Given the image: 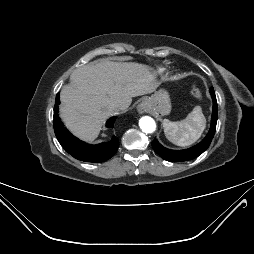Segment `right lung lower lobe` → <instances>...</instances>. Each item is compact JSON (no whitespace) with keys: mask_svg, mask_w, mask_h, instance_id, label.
I'll return each mask as SVG.
<instances>
[{"mask_svg":"<svg viewBox=\"0 0 254 254\" xmlns=\"http://www.w3.org/2000/svg\"><path fill=\"white\" fill-rule=\"evenodd\" d=\"M54 106V131L55 135L66 152L74 158L85 162H104L111 158L119 146L118 139L114 136L111 141L98 145L87 144L74 137L63 125L58 115V105L60 104L59 93L55 99ZM116 117L110 118L106 127H113Z\"/></svg>","mask_w":254,"mask_h":254,"instance_id":"1","label":"right lung lower lobe"}]
</instances>
